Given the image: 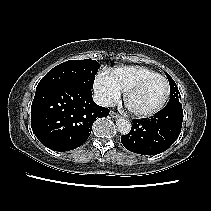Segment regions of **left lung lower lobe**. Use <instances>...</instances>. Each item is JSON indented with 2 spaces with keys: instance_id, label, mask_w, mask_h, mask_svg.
Listing matches in <instances>:
<instances>
[{
  "instance_id": "left-lung-lower-lobe-1",
  "label": "left lung lower lobe",
  "mask_w": 211,
  "mask_h": 211,
  "mask_svg": "<svg viewBox=\"0 0 211 211\" xmlns=\"http://www.w3.org/2000/svg\"><path fill=\"white\" fill-rule=\"evenodd\" d=\"M182 121V104H167L153 117L133 120L131 131L121 136V142L126 149L134 153L159 154L167 150L178 138Z\"/></svg>"
}]
</instances>
